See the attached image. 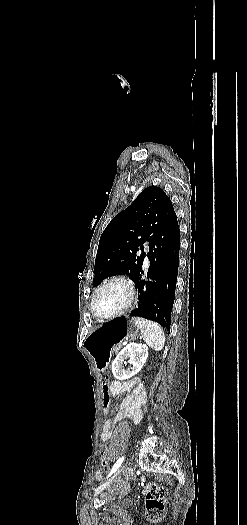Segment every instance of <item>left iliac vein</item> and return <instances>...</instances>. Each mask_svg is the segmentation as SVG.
I'll list each match as a JSON object with an SVG mask.
<instances>
[{
    "label": "left iliac vein",
    "instance_id": "obj_1",
    "mask_svg": "<svg viewBox=\"0 0 247 525\" xmlns=\"http://www.w3.org/2000/svg\"><path fill=\"white\" fill-rule=\"evenodd\" d=\"M126 467V464L124 466H122L120 469H118L114 475L109 479L107 480L104 484H102L101 486H99L95 492H94V497H96L98 494H100L112 481H114L116 479V477L118 475H120V473L125 469Z\"/></svg>",
    "mask_w": 247,
    "mask_h": 525
}]
</instances>
